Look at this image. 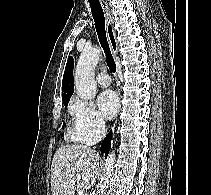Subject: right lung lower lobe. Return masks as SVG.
<instances>
[{"label":"right lung lower lobe","mask_w":211,"mask_h":195,"mask_svg":"<svg viewBox=\"0 0 211 195\" xmlns=\"http://www.w3.org/2000/svg\"><path fill=\"white\" fill-rule=\"evenodd\" d=\"M111 138H112V132L110 131L109 134L106 136V138L103 140L101 145V152L106 154L105 158L107 157L110 150Z\"/></svg>","instance_id":"obj_1"}]
</instances>
